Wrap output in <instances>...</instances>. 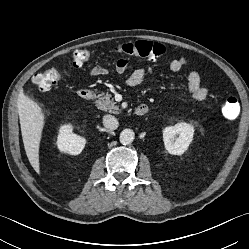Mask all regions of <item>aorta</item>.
<instances>
[{
  "label": "aorta",
  "mask_w": 249,
  "mask_h": 249,
  "mask_svg": "<svg viewBox=\"0 0 249 249\" xmlns=\"http://www.w3.org/2000/svg\"><path fill=\"white\" fill-rule=\"evenodd\" d=\"M134 137H135V134H134L133 130L124 129L120 133L119 140H120L121 144L128 145V144H131L133 142Z\"/></svg>",
  "instance_id": "762f6f07"
}]
</instances>
